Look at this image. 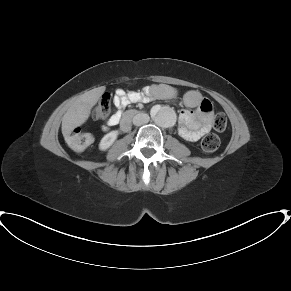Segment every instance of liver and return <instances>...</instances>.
<instances>
[{
	"instance_id": "liver-1",
	"label": "liver",
	"mask_w": 291,
	"mask_h": 291,
	"mask_svg": "<svg viewBox=\"0 0 291 291\" xmlns=\"http://www.w3.org/2000/svg\"><path fill=\"white\" fill-rule=\"evenodd\" d=\"M105 91L101 86L79 96L62 117V134L69 136L72 131L84 124L90 116L91 109Z\"/></svg>"
}]
</instances>
